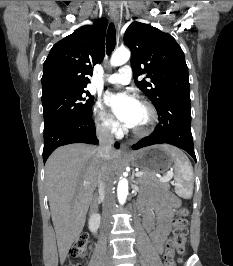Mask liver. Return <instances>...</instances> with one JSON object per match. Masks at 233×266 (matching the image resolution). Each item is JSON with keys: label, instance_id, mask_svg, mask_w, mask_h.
<instances>
[{"label": "liver", "instance_id": "liver-1", "mask_svg": "<svg viewBox=\"0 0 233 266\" xmlns=\"http://www.w3.org/2000/svg\"><path fill=\"white\" fill-rule=\"evenodd\" d=\"M97 153L95 146L69 144L57 148L45 165V182L61 263L83 230L98 185L101 163ZM120 157V152L110 151L107 168L113 177ZM84 182L89 184L84 186Z\"/></svg>", "mask_w": 233, "mask_h": 266}]
</instances>
